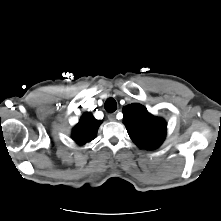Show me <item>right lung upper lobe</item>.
Returning <instances> with one entry per match:
<instances>
[{"label":"right lung upper lobe","mask_w":221,"mask_h":221,"mask_svg":"<svg viewBox=\"0 0 221 221\" xmlns=\"http://www.w3.org/2000/svg\"><path fill=\"white\" fill-rule=\"evenodd\" d=\"M100 124L101 121L96 120L91 113L86 112L73 129V140L80 145L90 142L96 137Z\"/></svg>","instance_id":"1"}]
</instances>
